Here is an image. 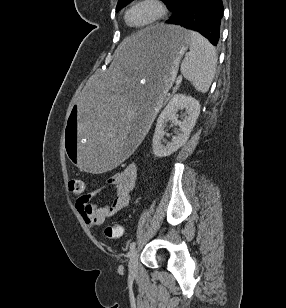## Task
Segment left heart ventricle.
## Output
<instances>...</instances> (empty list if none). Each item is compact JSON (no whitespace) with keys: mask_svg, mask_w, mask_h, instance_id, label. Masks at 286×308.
Here are the masks:
<instances>
[{"mask_svg":"<svg viewBox=\"0 0 286 308\" xmlns=\"http://www.w3.org/2000/svg\"><path fill=\"white\" fill-rule=\"evenodd\" d=\"M157 14L156 8L150 3L135 6L129 13L131 24L139 26L150 22Z\"/></svg>","mask_w":286,"mask_h":308,"instance_id":"b2bd125f","label":"left heart ventricle"}]
</instances>
